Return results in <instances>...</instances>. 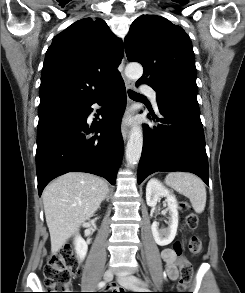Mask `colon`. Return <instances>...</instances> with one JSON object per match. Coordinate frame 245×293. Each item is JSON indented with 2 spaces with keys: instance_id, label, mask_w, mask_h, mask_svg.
Masks as SVG:
<instances>
[{
  "instance_id": "colon-1",
  "label": "colon",
  "mask_w": 245,
  "mask_h": 293,
  "mask_svg": "<svg viewBox=\"0 0 245 293\" xmlns=\"http://www.w3.org/2000/svg\"><path fill=\"white\" fill-rule=\"evenodd\" d=\"M180 208L186 212L185 221L189 228L195 229L198 226V216L189 212V204L183 202L180 204ZM202 248V241L198 236H192L189 241V250L192 254L197 255ZM183 247L180 244L174 246V253L182 260L180 267L179 284L181 286L190 283L193 275L191 264L183 256ZM79 258L75 250L66 246L62 248L58 253L52 255L43 266V273L45 278V284L54 293H72L71 283L79 273Z\"/></svg>"
}]
</instances>
